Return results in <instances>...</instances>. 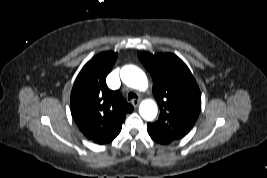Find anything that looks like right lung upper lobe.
<instances>
[{
	"label": "right lung upper lobe",
	"instance_id": "right-lung-upper-lobe-1",
	"mask_svg": "<svg viewBox=\"0 0 267 178\" xmlns=\"http://www.w3.org/2000/svg\"><path fill=\"white\" fill-rule=\"evenodd\" d=\"M117 53L98 54L82 68L71 91L70 107L73 118L84 136L97 144L111 142L121 131L126 114L132 112L118 90L106 85Z\"/></svg>",
	"mask_w": 267,
	"mask_h": 178
}]
</instances>
